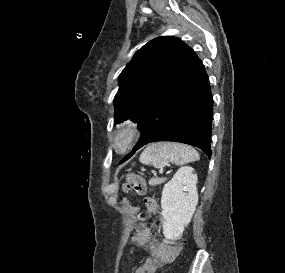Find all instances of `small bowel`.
Returning <instances> with one entry per match:
<instances>
[{
  "label": "small bowel",
  "mask_w": 285,
  "mask_h": 273,
  "mask_svg": "<svg viewBox=\"0 0 285 273\" xmlns=\"http://www.w3.org/2000/svg\"><path fill=\"white\" fill-rule=\"evenodd\" d=\"M147 211L150 213H157L159 211V204L155 199H144ZM151 230L149 232H142L137 239L139 246L149 244L151 257L144 260V262L135 269L134 273H156L157 269L163 267L165 264L173 261L180 252V247L169 243L151 242Z\"/></svg>",
  "instance_id": "1"
}]
</instances>
